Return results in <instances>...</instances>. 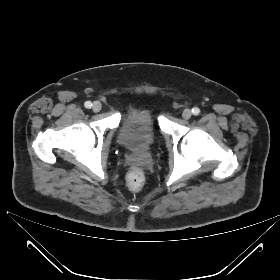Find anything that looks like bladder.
<instances>
[{
    "mask_svg": "<svg viewBox=\"0 0 280 280\" xmlns=\"http://www.w3.org/2000/svg\"><path fill=\"white\" fill-rule=\"evenodd\" d=\"M116 140L135 155H143L151 150L156 140L155 119L151 110L140 104L126 110L121 115Z\"/></svg>",
    "mask_w": 280,
    "mask_h": 280,
    "instance_id": "bladder-1",
    "label": "bladder"
}]
</instances>
